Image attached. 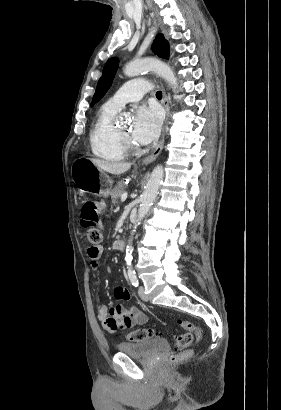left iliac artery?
I'll return each mask as SVG.
<instances>
[{
    "instance_id": "1",
    "label": "left iliac artery",
    "mask_w": 281,
    "mask_h": 410,
    "mask_svg": "<svg viewBox=\"0 0 281 410\" xmlns=\"http://www.w3.org/2000/svg\"><path fill=\"white\" fill-rule=\"evenodd\" d=\"M128 277H129L132 285L135 286V287H138L139 282H138V279H137V276H136L135 272H129Z\"/></svg>"
}]
</instances>
